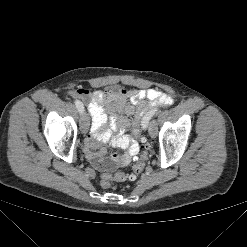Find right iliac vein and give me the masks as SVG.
Segmentation results:
<instances>
[{
	"instance_id": "obj_1",
	"label": "right iliac vein",
	"mask_w": 247,
	"mask_h": 247,
	"mask_svg": "<svg viewBox=\"0 0 247 247\" xmlns=\"http://www.w3.org/2000/svg\"><path fill=\"white\" fill-rule=\"evenodd\" d=\"M89 117L87 116L86 113H82L81 114V119H80V128H81V131L82 133H86L89 129Z\"/></svg>"
}]
</instances>
